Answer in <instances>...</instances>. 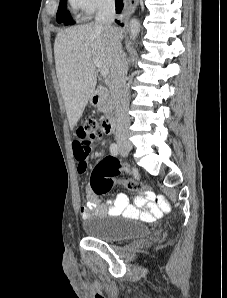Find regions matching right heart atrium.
Listing matches in <instances>:
<instances>
[{"label": "right heart atrium", "mask_w": 227, "mask_h": 298, "mask_svg": "<svg viewBox=\"0 0 227 298\" xmlns=\"http://www.w3.org/2000/svg\"><path fill=\"white\" fill-rule=\"evenodd\" d=\"M74 10L82 12L86 16L110 8L114 0H69Z\"/></svg>", "instance_id": "right-heart-atrium-1"}]
</instances>
